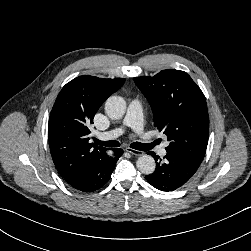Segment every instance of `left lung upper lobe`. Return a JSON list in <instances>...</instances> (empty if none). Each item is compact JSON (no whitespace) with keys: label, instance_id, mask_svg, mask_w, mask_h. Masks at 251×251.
<instances>
[{"label":"left lung upper lobe","instance_id":"left-lung-upper-lobe-1","mask_svg":"<svg viewBox=\"0 0 251 251\" xmlns=\"http://www.w3.org/2000/svg\"><path fill=\"white\" fill-rule=\"evenodd\" d=\"M134 81L149 101L154 126L170 141L167 153L201 164L208 144L209 116L205 96L197 84L186 72L173 69Z\"/></svg>","mask_w":251,"mask_h":251}]
</instances>
